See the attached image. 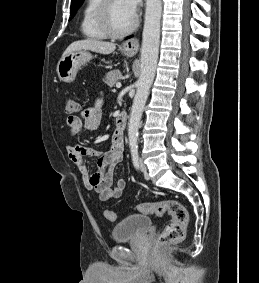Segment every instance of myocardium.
I'll return each instance as SVG.
<instances>
[{
	"instance_id": "1",
	"label": "myocardium",
	"mask_w": 259,
	"mask_h": 283,
	"mask_svg": "<svg viewBox=\"0 0 259 283\" xmlns=\"http://www.w3.org/2000/svg\"><path fill=\"white\" fill-rule=\"evenodd\" d=\"M113 0H102L99 9H98V23L102 32L111 38H122L129 35L135 30L138 25V19L134 16V19L130 26L122 31H117L114 29L111 22V5Z\"/></svg>"
}]
</instances>
